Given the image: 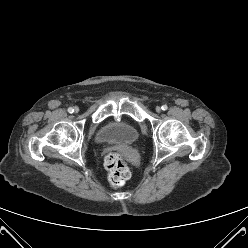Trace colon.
<instances>
[{
  "instance_id": "5ec220e1",
  "label": "colon",
  "mask_w": 248,
  "mask_h": 248,
  "mask_svg": "<svg viewBox=\"0 0 248 248\" xmlns=\"http://www.w3.org/2000/svg\"><path fill=\"white\" fill-rule=\"evenodd\" d=\"M105 167L109 173V182L114 187L122 186L130 177L129 168L123 156L118 152H110L106 156Z\"/></svg>"
}]
</instances>
